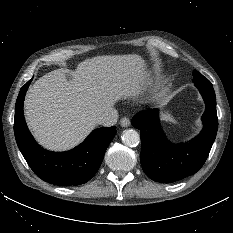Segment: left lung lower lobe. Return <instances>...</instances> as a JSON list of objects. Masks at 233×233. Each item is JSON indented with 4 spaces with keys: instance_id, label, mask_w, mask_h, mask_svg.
Returning <instances> with one entry per match:
<instances>
[{
    "instance_id": "left-lung-lower-lobe-1",
    "label": "left lung lower lobe",
    "mask_w": 233,
    "mask_h": 233,
    "mask_svg": "<svg viewBox=\"0 0 233 233\" xmlns=\"http://www.w3.org/2000/svg\"><path fill=\"white\" fill-rule=\"evenodd\" d=\"M206 109L202 115L203 130L188 143L169 142L159 124L158 110L139 112L132 125L141 133V165L156 182L172 183L195 174L205 163L218 129L216 96L211 82L195 84Z\"/></svg>"
}]
</instances>
